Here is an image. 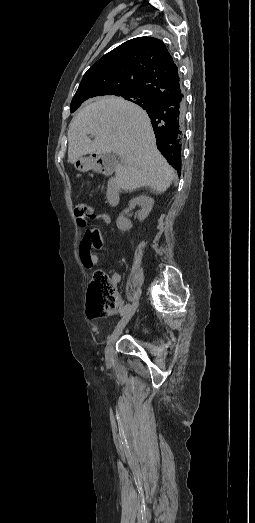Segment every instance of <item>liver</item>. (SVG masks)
Masks as SVG:
<instances>
[{"mask_svg":"<svg viewBox=\"0 0 255 523\" xmlns=\"http://www.w3.org/2000/svg\"><path fill=\"white\" fill-rule=\"evenodd\" d=\"M68 144L70 164L86 154H120L115 174L122 190L150 186L162 194L175 176L157 150L148 114L123 98L104 96L86 102L69 126Z\"/></svg>","mask_w":255,"mask_h":523,"instance_id":"liver-1","label":"liver"}]
</instances>
